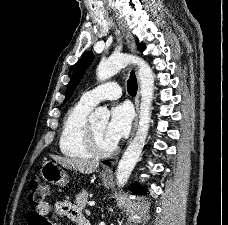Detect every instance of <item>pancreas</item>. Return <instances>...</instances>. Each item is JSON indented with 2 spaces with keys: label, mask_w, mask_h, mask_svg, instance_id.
<instances>
[{
  "label": "pancreas",
  "mask_w": 228,
  "mask_h": 225,
  "mask_svg": "<svg viewBox=\"0 0 228 225\" xmlns=\"http://www.w3.org/2000/svg\"><path fill=\"white\" fill-rule=\"evenodd\" d=\"M89 193L87 191H82L79 195H76V205L80 207V209H86V205L88 203Z\"/></svg>",
  "instance_id": "obj_1"
}]
</instances>
